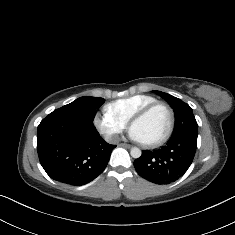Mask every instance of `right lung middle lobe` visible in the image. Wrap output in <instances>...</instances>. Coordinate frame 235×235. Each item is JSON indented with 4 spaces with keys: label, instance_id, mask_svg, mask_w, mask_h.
<instances>
[{
    "label": "right lung middle lobe",
    "instance_id": "dd1d6c3e",
    "mask_svg": "<svg viewBox=\"0 0 235 235\" xmlns=\"http://www.w3.org/2000/svg\"><path fill=\"white\" fill-rule=\"evenodd\" d=\"M104 102L103 98L100 97H80L70 104H67L59 109L58 111H65L72 114L79 115L83 118L93 121L96 109Z\"/></svg>",
    "mask_w": 235,
    "mask_h": 235
}]
</instances>
